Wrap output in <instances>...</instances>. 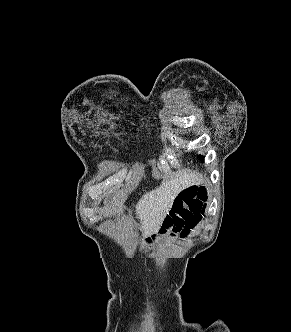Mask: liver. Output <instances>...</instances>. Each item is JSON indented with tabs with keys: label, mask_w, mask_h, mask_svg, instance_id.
I'll use <instances>...</instances> for the list:
<instances>
[{
	"label": "liver",
	"mask_w": 291,
	"mask_h": 332,
	"mask_svg": "<svg viewBox=\"0 0 291 332\" xmlns=\"http://www.w3.org/2000/svg\"><path fill=\"white\" fill-rule=\"evenodd\" d=\"M201 182L202 175L185 171L162 182L159 188L145 193L136 205V215L140 220L143 234L149 235L159 228L172 208L174 199L181 191L189 186L199 185ZM124 201L125 198L122 195L121 202L114 205L120 206ZM115 206L112 208L113 212L117 211Z\"/></svg>",
	"instance_id": "6515ba94"
}]
</instances>
